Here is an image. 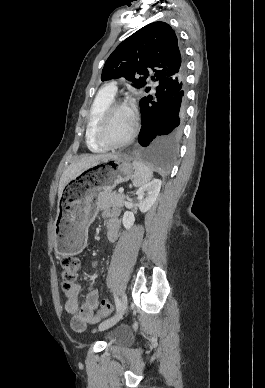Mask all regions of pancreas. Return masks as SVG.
Instances as JSON below:
<instances>
[{
	"instance_id": "pancreas-1",
	"label": "pancreas",
	"mask_w": 265,
	"mask_h": 388,
	"mask_svg": "<svg viewBox=\"0 0 265 388\" xmlns=\"http://www.w3.org/2000/svg\"><path fill=\"white\" fill-rule=\"evenodd\" d=\"M97 208L99 210H105V208H121L124 204V194H116V192H100L97 198Z\"/></svg>"
}]
</instances>
